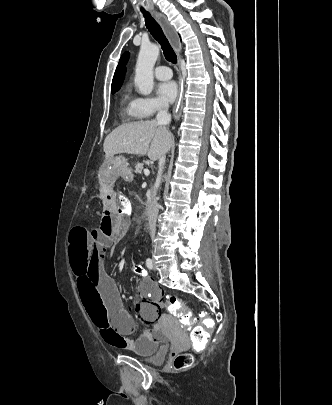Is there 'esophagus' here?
Wrapping results in <instances>:
<instances>
[{"label": "esophagus", "mask_w": 332, "mask_h": 405, "mask_svg": "<svg viewBox=\"0 0 332 405\" xmlns=\"http://www.w3.org/2000/svg\"><path fill=\"white\" fill-rule=\"evenodd\" d=\"M155 15L158 23L161 25L167 38L169 39V41L171 42L177 53L180 55L181 45L177 33L175 32V30L173 29V27L170 25L167 18L163 14L156 12ZM182 108H183V80L181 79L178 98L173 108L175 121L179 120L182 113Z\"/></svg>", "instance_id": "esophagus-1"}]
</instances>
